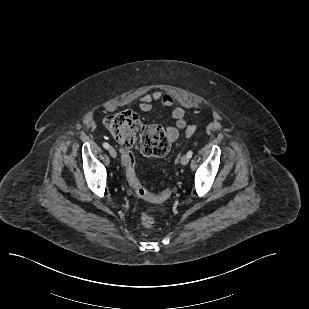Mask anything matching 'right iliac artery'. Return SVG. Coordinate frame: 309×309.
Listing matches in <instances>:
<instances>
[{"label":"right iliac artery","instance_id":"obj_1","mask_svg":"<svg viewBox=\"0 0 309 309\" xmlns=\"http://www.w3.org/2000/svg\"><path fill=\"white\" fill-rule=\"evenodd\" d=\"M103 147H104L105 149H109V148H110V145H109L107 142H104V143H103Z\"/></svg>","mask_w":309,"mask_h":309}]
</instances>
